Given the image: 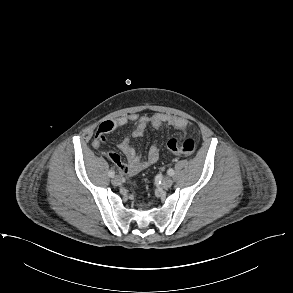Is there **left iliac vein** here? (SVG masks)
<instances>
[{"label":"left iliac vein","instance_id":"left-iliac-vein-1","mask_svg":"<svg viewBox=\"0 0 293 293\" xmlns=\"http://www.w3.org/2000/svg\"><path fill=\"white\" fill-rule=\"evenodd\" d=\"M173 184V181L170 177H164L163 180H162V186L164 188H169L171 187Z\"/></svg>","mask_w":293,"mask_h":293}]
</instances>
